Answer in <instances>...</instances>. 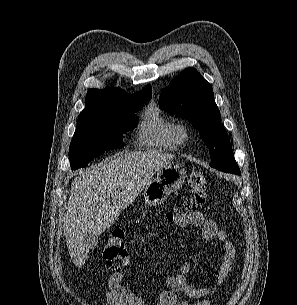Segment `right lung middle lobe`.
Masks as SVG:
<instances>
[{
  "instance_id": "obj_1",
  "label": "right lung middle lobe",
  "mask_w": 297,
  "mask_h": 305,
  "mask_svg": "<svg viewBox=\"0 0 297 305\" xmlns=\"http://www.w3.org/2000/svg\"><path fill=\"white\" fill-rule=\"evenodd\" d=\"M150 99L122 102L108 108L84 109L70 144L72 169L87 163L105 151L121 148L122 134L135 128L138 117L133 113Z\"/></svg>"
}]
</instances>
